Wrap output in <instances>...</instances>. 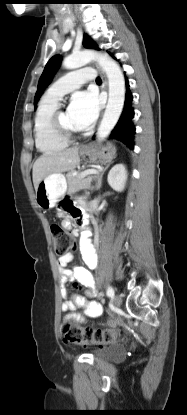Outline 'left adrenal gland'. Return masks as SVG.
Segmentation results:
<instances>
[{"instance_id": "1", "label": "left adrenal gland", "mask_w": 187, "mask_h": 415, "mask_svg": "<svg viewBox=\"0 0 187 415\" xmlns=\"http://www.w3.org/2000/svg\"><path fill=\"white\" fill-rule=\"evenodd\" d=\"M110 164L106 165L103 169L100 170V172L95 176L96 186L95 189L99 190L102 186V177L104 172L108 169Z\"/></svg>"}]
</instances>
